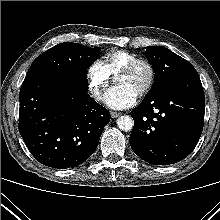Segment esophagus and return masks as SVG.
<instances>
[{
  "label": "esophagus",
  "instance_id": "esophagus-1",
  "mask_svg": "<svg viewBox=\"0 0 220 220\" xmlns=\"http://www.w3.org/2000/svg\"><path fill=\"white\" fill-rule=\"evenodd\" d=\"M120 115H121V113H119V112H111L112 118H117V117H119Z\"/></svg>",
  "mask_w": 220,
  "mask_h": 220
}]
</instances>
